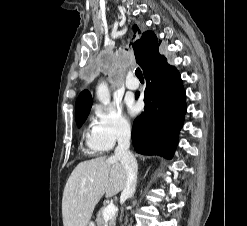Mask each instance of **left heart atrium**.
<instances>
[{
  "mask_svg": "<svg viewBox=\"0 0 247 226\" xmlns=\"http://www.w3.org/2000/svg\"><path fill=\"white\" fill-rule=\"evenodd\" d=\"M128 109H129L130 114H132V115L137 112V108L133 104H129Z\"/></svg>",
  "mask_w": 247,
  "mask_h": 226,
  "instance_id": "1",
  "label": "left heart atrium"
}]
</instances>
